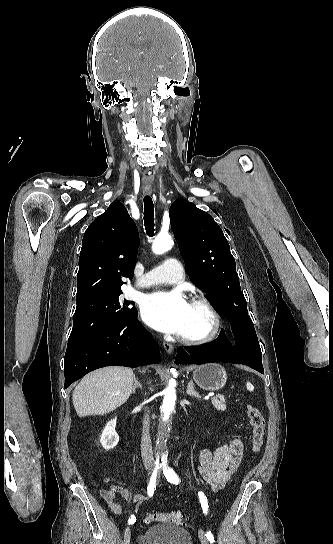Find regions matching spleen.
Instances as JSON below:
<instances>
[{"label": "spleen", "mask_w": 333, "mask_h": 544, "mask_svg": "<svg viewBox=\"0 0 333 544\" xmlns=\"http://www.w3.org/2000/svg\"><path fill=\"white\" fill-rule=\"evenodd\" d=\"M246 387H247V389H248L249 391H253V390H254V387H253V385H252L250 382H247V383H246Z\"/></svg>", "instance_id": "obj_1"}]
</instances>
